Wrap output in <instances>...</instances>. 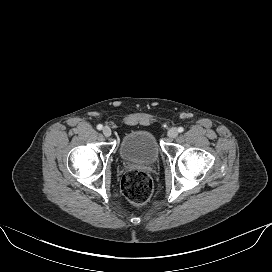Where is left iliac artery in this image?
I'll use <instances>...</instances> for the list:
<instances>
[{"mask_svg":"<svg viewBox=\"0 0 272 272\" xmlns=\"http://www.w3.org/2000/svg\"><path fill=\"white\" fill-rule=\"evenodd\" d=\"M183 131H184V128H183V127H179V128H178V132L181 133V132H183Z\"/></svg>","mask_w":272,"mask_h":272,"instance_id":"obj_1","label":"left iliac artery"}]
</instances>
